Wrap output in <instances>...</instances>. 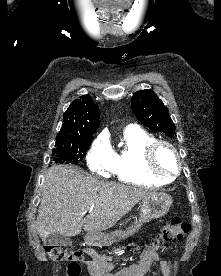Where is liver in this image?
<instances>
[{"mask_svg":"<svg viewBox=\"0 0 221 276\" xmlns=\"http://www.w3.org/2000/svg\"><path fill=\"white\" fill-rule=\"evenodd\" d=\"M150 189L100 181L69 165H54L46 173L37 216L42 241L52 233L76 236L82 229L97 233L114 226ZM89 214L83 218L85 210Z\"/></svg>","mask_w":221,"mask_h":276,"instance_id":"obj_1","label":"liver"}]
</instances>
